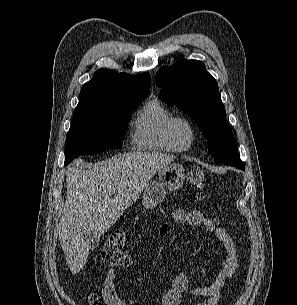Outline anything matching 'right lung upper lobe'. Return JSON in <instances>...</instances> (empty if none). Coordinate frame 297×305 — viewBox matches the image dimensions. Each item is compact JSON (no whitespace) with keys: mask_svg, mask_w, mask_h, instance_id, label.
Returning <instances> with one entry per match:
<instances>
[{"mask_svg":"<svg viewBox=\"0 0 297 305\" xmlns=\"http://www.w3.org/2000/svg\"><path fill=\"white\" fill-rule=\"evenodd\" d=\"M150 86L151 78L147 72L132 76L99 69L92 80L82 86L77 108L105 106L123 100L145 98L149 94Z\"/></svg>","mask_w":297,"mask_h":305,"instance_id":"right-lung-upper-lobe-1","label":"right lung upper lobe"}]
</instances>
